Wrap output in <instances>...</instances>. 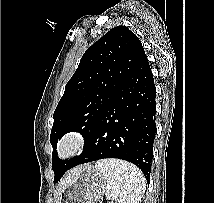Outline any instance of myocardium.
<instances>
[{"label":"myocardium","mask_w":214,"mask_h":203,"mask_svg":"<svg viewBox=\"0 0 214 203\" xmlns=\"http://www.w3.org/2000/svg\"><path fill=\"white\" fill-rule=\"evenodd\" d=\"M86 143V136L83 132H68L60 139L56 155L60 160L70 159L79 154Z\"/></svg>","instance_id":"obj_1"}]
</instances>
